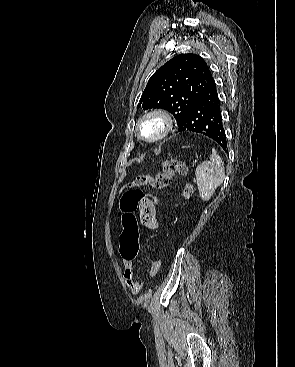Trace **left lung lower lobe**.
<instances>
[{"mask_svg": "<svg viewBox=\"0 0 295 367\" xmlns=\"http://www.w3.org/2000/svg\"><path fill=\"white\" fill-rule=\"evenodd\" d=\"M179 132L203 134L217 142L227 152V140L222 122L221 102L213 77L191 105L178 128Z\"/></svg>", "mask_w": 295, "mask_h": 367, "instance_id": "1", "label": "left lung lower lobe"}]
</instances>
